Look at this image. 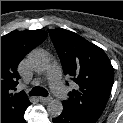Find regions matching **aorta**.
<instances>
[{"mask_svg":"<svg viewBox=\"0 0 123 123\" xmlns=\"http://www.w3.org/2000/svg\"><path fill=\"white\" fill-rule=\"evenodd\" d=\"M28 62L30 66L39 72L45 71L49 66V58L45 51L35 49L28 55ZM48 113L53 117H58L63 111L62 102L59 100H51L47 105Z\"/></svg>","mask_w":123,"mask_h":123,"instance_id":"1","label":"aorta"}]
</instances>
